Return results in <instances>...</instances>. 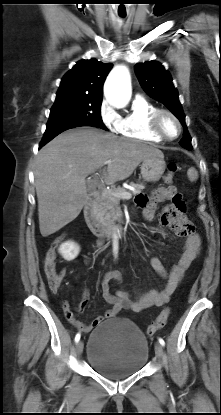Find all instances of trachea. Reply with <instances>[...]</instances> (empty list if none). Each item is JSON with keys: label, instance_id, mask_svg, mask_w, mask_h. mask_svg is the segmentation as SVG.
I'll return each mask as SVG.
<instances>
[{"label": "trachea", "instance_id": "trachea-1", "mask_svg": "<svg viewBox=\"0 0 221 415\" xmlns=\"http://www.w3.org/2000/svg\"><path fill=\"white\" fill-rule=\"evenodd\" d=\"M121 17H125L124 15H120Z\"/></svg>", "mask_w": 221, "mask_h": 415}]
</instances>
